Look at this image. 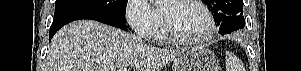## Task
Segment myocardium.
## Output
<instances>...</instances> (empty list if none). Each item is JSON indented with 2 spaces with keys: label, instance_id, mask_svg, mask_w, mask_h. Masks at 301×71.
I'll use <instances>...</instances> for the list:
<instances>
[{
  "label": "myocardium",
  "instance_id": "myocardium-1",
  "mask_svg": "<svg viewBox=\"0 0 301 71\" xmlns=\"http://www.w3.org/2000/svg\"><path fill=\"white\" fill-rule=\"evenodd\" d=\"M178 1L192 3V4L196 5L197 7H199L204 12V14L208 20L207 32L200 38L183 37L175 31V29L172 27L169 20L167 19V17L165 16V14L162 11L163 21H164V30H165L166 35L172 41L182 44V45H187V46H198V45H203V44L207 43L214 36L215 30H216V22H215V19L212 15L211 11L201 1H197V0H178Z\"/></svg>",
  "mask_w": 301,
  "mask_h": 71
}]
</instances>
